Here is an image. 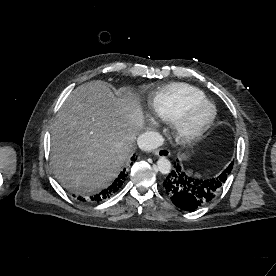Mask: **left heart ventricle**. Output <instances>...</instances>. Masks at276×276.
Here are the masks:
<instances>
[{"instance_id": "b2bd125f", "label": "left heart ventricle", "mask_w": 276, "mask_h": 276, "mask_svg": "<svg viewBox=\"0 0 276 276\" xmlns=\"http://www.w3.org/2000/svg\"><path fill=\"white\" fill-rule=\"evenodd\" d=\"M211 115V109L209 107H201L196 109L190 118V123L193 127H197L203 124Z\"/></svg>"}]
</instances>
